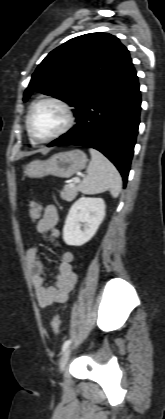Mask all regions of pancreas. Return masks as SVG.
Masks as SVG:
<instances>
[{"label": "pancreas", "instance_id": "obj_1", "mask_svg": "<svg viewBox=\"0 0 165 419\" xmlns=\"http://www.w3.org/2000/svg\"><path fill=\"white\" fill-rule=\"evenodd\" d=\"M79 185L77 183L67 184L60 192V196L63 200L71 202L78 195Z\"/></svg>", "mask_w": 165, "mask_h": 419}]
</instances>
